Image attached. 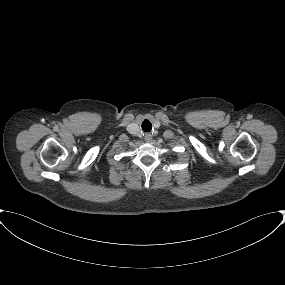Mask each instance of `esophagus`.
<instances>
[{"instance_id": "34e87169", "label": "esophagus", "mask_w": 285, "mask_h": 285, "mask_svg": "<svg viewBox=\"0 0 285 285\" xmlns=\"http://www.w3.org/2000/svg\"><path fill=\"white\" fill-rule=\"evenodd\" d=\"M144 139L145 141L149 142L152 139V135L150 133H146Z\"/></svg>"}]
</instances>
